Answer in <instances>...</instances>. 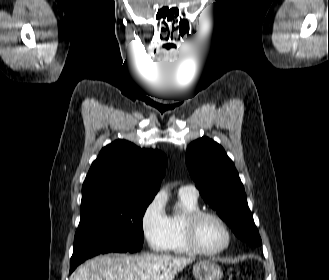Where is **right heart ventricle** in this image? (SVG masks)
<instances>
[{
    "label": "right heart ventricle",
    "instance_id": "right-heart-ventricle-1",
    "mask_svg": "<svg viewBox=\"0 0 329 280\" xmlns=\"http://www.w3.org/2000/svg\"><path fill=\"white\" fill-rule=\"evenodd\" d=\"M180 210L168 216V237L164 250L178 255L191 254L184 236V222L188 214L199 210L198 199L179 192Z\"/></svg>",
    "mask_w": 329,
    "mask_h": 280
}]
</instances>
